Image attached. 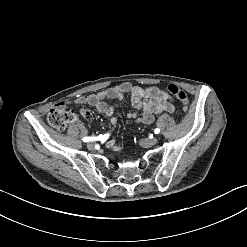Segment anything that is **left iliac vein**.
Returning a JSON list of instances; mask_svg holds the SVG:
<instances>
[{"label": "left iliac vein", "mask_w": 247, "mask_h": 247, "mask_svg": "<svg viewBox=\"0 0 247 247\" xmlns=\"http://www.w3.org/2000/svg\"><path fill=\"white\" fill-rule=\"evenodd\" d=\"M158 139L156 137L149 138V139H141L140 144L145 147L149 148L157 143Z\"/></svg>", "instance_id": "obj_1"}]
</instances>
